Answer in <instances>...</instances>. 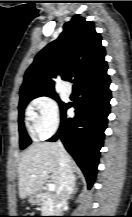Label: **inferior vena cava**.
Instances as JSON below:
<instances>
[{
    "instance_id": "obj_1",
    "label": "inferior vena cava",
    "mask_w": 132,
    "mask_h": 217,
    "mask_svg": "<svg viewBox=\"0 0 132 217\" xmlns=\"http://www.w3.org/2000/svg\"><path fill=\"white\" fill-rule=\"evenodd\" d=\"M59 147V166H60V185L56 192V214L62 213V208L72 191V185L74 182V174L71 168V159L67 154L62 142L58 141Z\"/></svg>"
}]
</instances>
